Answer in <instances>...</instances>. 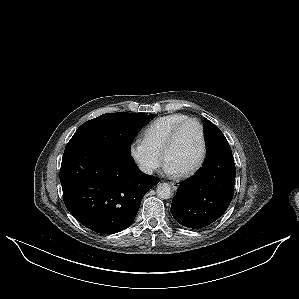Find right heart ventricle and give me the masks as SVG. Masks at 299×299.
Instances as JSON below:
<instances>
[{"mask_svg": "<svg viewBox=\"0 0 299 299\" xmlns=\"http://www.w3.org/2000/svg\"><path fill=\"white\" fill-rule=\"evenodd\" d=\"M189 119L184 114H171L155 121L144 135L147 148L152 153L161 155L172 132Z\"/></svg>", "mask_w": 299, "mask_h": 299, "instance_id": "obj_1", "label": "right heart ventricle"}]
</instances>
